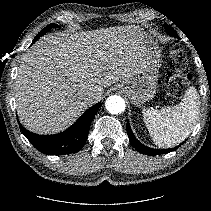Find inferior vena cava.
<instances>
[{
  "label": "inferior vena cava",
  "mask_w": 211,
  "mask_h": 211,
  "mask_svg": "<svg viewBox=\"0 0 211 211\" xmlns=\"http://www.w3.org/2000/svg\"><path fill=\"white\" fill-rule=\"evenodd\" d=\"M85 101H86V103H88L89 105H92V104H94V103H96V102L99 101V97H98L95 93L89 92V93H87V94L85 95Z\"/></svg>",
  "instance_id": "obj_1"
}]
</instances>
